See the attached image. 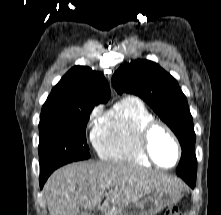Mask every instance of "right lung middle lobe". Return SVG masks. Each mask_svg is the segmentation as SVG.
<instances>
[{"label":"right lung middle lobe","instance_id":"obj_1","mask_svg":"<svg viewBox=\"0 0 221 215\" xmlns=\"http://www.w3.org/2000/svg\"><path fill=\"white\" fill-rule=\"evenodd\" d=\"M95 105H43L39 123L40 171L90 157L86 125Z\"/></svg>","mask_w":221,"mask_h":215}]
</instances>
